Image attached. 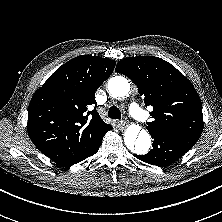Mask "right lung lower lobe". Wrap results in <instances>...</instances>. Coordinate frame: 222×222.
Wrapping results in <instances>:
<instances>
[{
	"label": "right lung lower lobe",
	"instance_id": "right-lung-lower-lobe-1",
	"mask_svg": "<svg viewBox=\"0 0 222 222\" xmlns=\"http://www.w3.org/2000/svg\"><path fill=\"white\" fill-rule=\"evenodd\" d=\"M101 143H102V139L99 142H97V144L93 147V149L91 151H89L88 153H86L82 157H80V158H78L76 160H73V161L62 163L61 165L64 166V167H69V166H71L73 164H76V163H78V162H80V161H82V160H84V159L94 155L98 151Z\"/></svg>",
	"mask_w": 222,
	"mask_h": 222
}]
</instances>
